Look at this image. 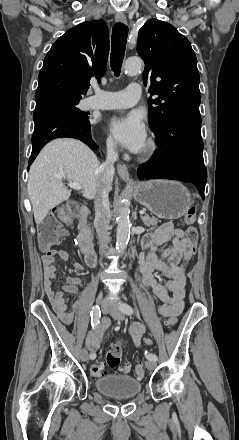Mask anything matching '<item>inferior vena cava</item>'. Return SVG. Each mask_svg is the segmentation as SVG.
I'll use <instances>...</instances> for the list:
<instances>
[{
  "label": "inferior vena cava",
  "mask_w": 239,
  "mask_h": 440,
  "mask_svg": "<svg viewBox=\"0 0 239 440\" xmlns=\"http://www.w3.org/2000/svg\"><path fill=\"white\" fill-rule=\"evenodd\" d=\"M106 146L107 158L106 162L101 164L100 168H98L100 180L97 184V194L94 198L95 228L98 234L99 246L102 252L108 248V228L111 218L109 208V190L115 174L114 162H117L119 158L117 146L112 138H108ZM109 300V298H104L102 301V307H115V304H113V302H109Z\"/></svg>",
  "instance_id": "obj_1"
}]
</instances>
